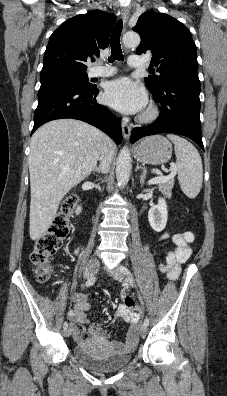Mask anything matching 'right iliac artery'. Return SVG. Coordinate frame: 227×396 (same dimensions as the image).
<instances>
[{
	"mask_svg": "<svg viewBox=\"0 0 227 396\" xmlns=\"http://www.w3.org/2000/svg\"><path fill=\"white\" fill-rule=\"evenodd\" d=\"M95 281H96V278H95V277H92V278H90V279H88V280L86 281L85 286H87V287L92 286V285L95 283ZM67 327H68V323H67V322H64L63 328L66 329Z\"/></svg>",
	"mask_w": 227,
	"mask_h": 396,
	"instance_id": "1",
	"label": "right iliac artery"
}]
</instances>
